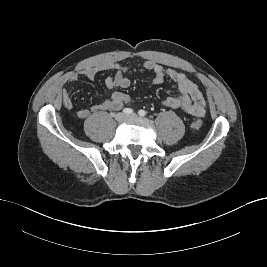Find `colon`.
Wrapping results in <instances>:
<instances>
[{
  "label": "colon",
  "instance_id": "colon-1",
  "mask_svg": "<svg viewBox=\"0 0 267 267\" xmlns=\"http://www.w3.org/2000/svg\"><path fill=\"white\" fill-rule=\"evenodd\" d=\"M202 126V121L200 119H195L193 122H192V128L195 129V130H198L200 129Z\"/></svg>",
  "mask_w": 267,
  "mask_h": 267
}]
</instances>
